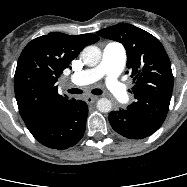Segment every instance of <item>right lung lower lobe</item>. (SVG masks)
I'll use <instances>...</instances> for the list:
<instances>
[{"instance_id":"98d812e1","label":"right lung lower lobe","mask_w":187,"mask_h":187,"mask_svg":"<svg viewBox=\"0 0 187 187\" xmlns=\"http://www.w3.org/2000/svg\"><path fill=\"white\" fill-rule=\"evenodd\" d=\"M87 115V104L73 99L40 127L30 132L46 147L66 149L78 143L83 137Z\"/></svg>"}]
</instances>
